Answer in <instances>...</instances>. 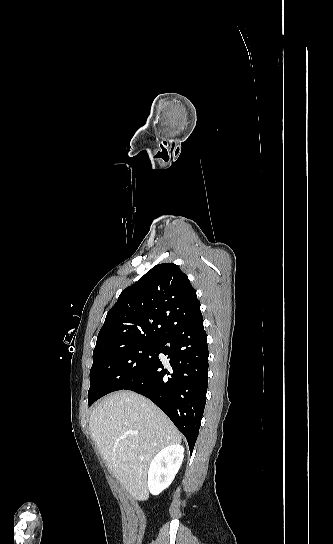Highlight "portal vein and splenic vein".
Wrapping results in <instances>:
<instances>
[{"label": "portal vein and splenic vein", "mask_w": 333, "mask_h": 544, "mask_svg": "<svg viewBox=\"0 0 333 544\" xmlns=\"http://www.w3.org/2000/svg\"><path fill=\"white\" fill-rule=\"evenodd\" d=\"M131 434H134V435H136V434H137V432H131Z\"/></svg>", "instance_id": "obj_1"}]
</instances>
